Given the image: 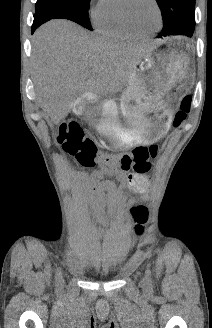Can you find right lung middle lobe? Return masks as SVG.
<instances>
[{"mask_svg":"<svg viewBox=\"0 0 212 328\" xmlns=\"http://www.w3.org/2000/svg\"><path fill=\"white\" fill-rule=\"evenodd\" d=\"M90 0H37L34 16L50 19L72 20L81 26L93 30L89 23Z\"/></svg>","mask_w":212,"mask_h":328,"instance_id":"1","label":"right lung middle lobe"}]
</instances>
